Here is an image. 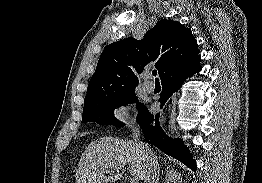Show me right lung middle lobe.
<instances>
[{
  "instance_id": "dd1d6c3e",
  "label": "right lung middle lobe",
  "mask_w": 262,
  "mask_h": 183,
  "mask_svg": "<svg viewBox=\"0 0 262 183\" xmlns=\"http://www.w3.org/2000/svg\"><path fill=\"white\" fill-rule=\"evenodd\" d=\"M134 102H137L139 111L144 108V105L138 102L134 89L121 94L88 102L84 104L82 121H95L98 124H112L117 125L118 127L123 126L124 123L114 117V109L116 107Z\"/></svg>"
}]
</instances>
